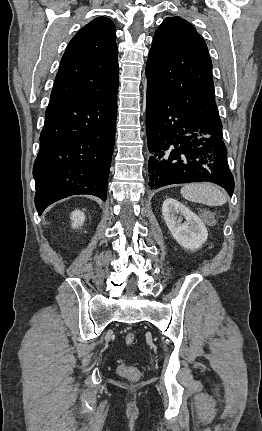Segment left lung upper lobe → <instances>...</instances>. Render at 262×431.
<instances>
[{"label": "left lung upper lobe", "instance_id": "obj_1", "mask_svg": "<svg viewBox=\"0 0 262 431\" xmlns=\"http://www.w3.org/2000/svg\"><path fill=\"white\" fill-rule=\"evenodd\" d=\"M148 84L210 126L221 121L214 98L212 62L203 38L180 17H168L155 32L149 52Z\"/></svg>", "mask_w": 262, "mask_h": 431}]
</instances>
